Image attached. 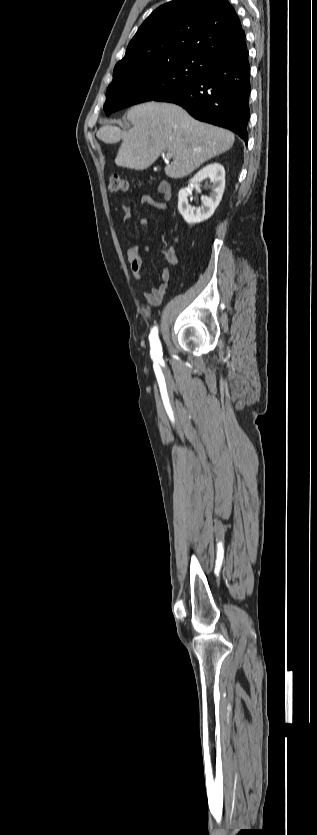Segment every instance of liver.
Listing matches in <instances>:
<instances>
[{
  "label": "liver",
  "instance_id": "liver-1",
  "mask_svg": "<svg viewBox=\"0 0 317 835\" xmlns=\"http://www.w3.org/2000/svg\"><path fill=\"white\" fill-rule=\"evenodd\" d=\"M127 120L133 127L121 131L117 126H102L96 136L105 144L122 140L115 158L120 167L144 170L162 151L173 162L165 167L170 178H182L205 161L229 150L234 135L223 128L199 122L183 108L170 104L147 102L128 110Z\"/></svg>",
  "mask_w": 317,
  "mask_h": 835
}]
</instances>
